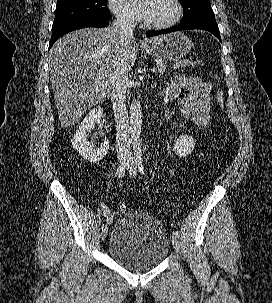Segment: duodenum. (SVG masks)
<instances>
[{
    "label": "duodenum",
    "mask_w": 272,
    "mask_h": 303,
    "mask_svg": "<svg viewBox=\"0 0 272 303\" xmlns=\"http://www.w3.org/2000/svg\"><path fill=\"white\" fill-rule=\"evenodd\" d=\"M170 100H171V97L165 91L159 96V101L162 104H166Z\"/></svg>",
    "instance_id": "obj_1"
}]
</instances>
